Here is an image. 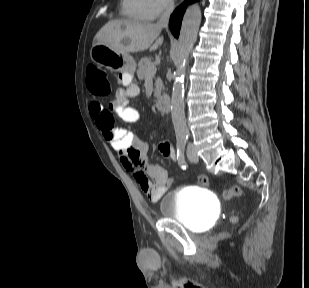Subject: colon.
<instances>
[{
  "instance_id": "5ec220e1",
  "label": "colon",
  "mask_w": 309,
  "mask_h": 288,
  "mask_svg": "<svg viewBox=\"0 0 309 288\" xmlns=\"http://www.w3.org/2000/svg\"><path fill=\"white\" fill-rule=\"evenodd\" d=\"M87 86L89 91L96 96H106L111 90L110 82L106 73L95 66H90L88 68ZM169 182L171 185L174 183L173 180H170ZM198 183L202 186H206L208 184V178L205 175L199 176ZM241 194V187L238 185H232L224 191L223 196L226 199H231L239 197Z\"/></svg>"
}]
</instances>
